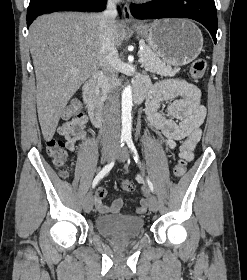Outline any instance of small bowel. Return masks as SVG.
Here are the masks:
<instances>
[{
	"mask_svg": "<svg viewBox=\"0 0 247 280\" xmlns=\"http://www.w3.org/2000/svg\"><path fill=\"white\" fill-rule=\"evenodd\" d=\"M137 88L148 91L146 101V115L149 124L159 130V141L170 149H175L179 143L180 158L190 161L193 151L201 138V125L206 116V109L200 103L201 92L197 86L183 80L163 79L150 85L145 77H139ZM168 101L170 117H165L159 112L160 104ZM87 117H73L58 126L56 132L63 138L66 149L70 152L75 150L78 140H85L92 130L88 129ZM66 176V173H64ZM137 182L144 184L142 176H137ZM143 199L137 208V213L147 210L148 190L141 189ZM107 196L105 188H99L94 197V205L102 214H117L120 212L123 200L115 199L111 204L104 203Z\"/></svg>",
	"mask_w": 247,
	"mask_h": 280,
	"instance_id": "obj_1",
	"label": "small bowel"
}]
</instances>
